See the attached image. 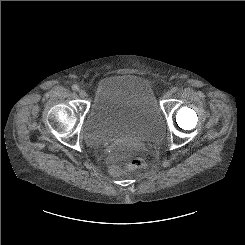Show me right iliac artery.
<instances>
[{
	"mask_svg": "<svg viewBox=\"0 0 245 245\" xmlns=\"http://www.w3.org/2000/svg\"><path fill=\"white\" fill-rule=\"evenodd\" d=\"M72 89H73L74 91H77V90L79 89V87H78L77 85H73Z\"/></svg>",
	"mask_w": 245,
	"mask_h": 245,
	"instance_id": "right-iliac-artery-1",
	"label": "right iliac artery"
}]
</instances>
